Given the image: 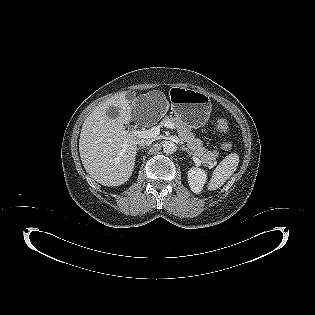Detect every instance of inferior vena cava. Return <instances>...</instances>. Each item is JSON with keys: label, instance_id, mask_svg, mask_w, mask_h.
Returning <instances> with one entry per match:
<instances>
[{"label": "inferior vena cava", "instance_id": "inferior-vena-cava-1", "mask_svg": "<svg viewBox=\"0 0 315 315\" xmlns=\"http://www.w3.org/2000/svg\"><path fill=\"white\" fill-rule=\"evenodd\" d=\"M152 142H153V139L146 138V139H139L137 141V144L140 146H149Z\"/></svg>", "mask_w": 315, "mask_h": 315}]
</instances>
